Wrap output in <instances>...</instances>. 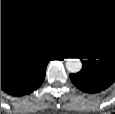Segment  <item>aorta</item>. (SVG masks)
Returning a JSON list of instances; mask_svg holds the SVG:
<instances>
[{
	"instance_id": "aorta-1",
	"label": "aorta",
	"mask_w": 115,
	"mask_h": 114,
	"mask_svg": "<svg viewBox=\"0 0 115 114\" xmlns=\"http://www.w3.org/2000/svg\"><path fill=\"white\" fill-rule=\"evenodd\" d=\"M66 69L71 73H77L82 69V63L75 58L67 59L65 63Z\"/></svg>"
}]
</instances>
